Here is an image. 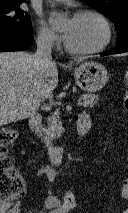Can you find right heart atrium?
<instances>
[{
    "mask_svg": "<svg viewBox=\"0 0 128 213\" xmlns=\"http://www.w3.org/2000/svg\"><path fill=\"white\" fill-rule=\"evenodd\" d=\"M37 42L40 46L50 48L59 44V37L45 27L37 30Z\"/></svg>",
    "mask_w": 128,
    "mask_h": 213,
    "instance_id": "1",
    "label": "right heart atrium"
}]
</instances>
